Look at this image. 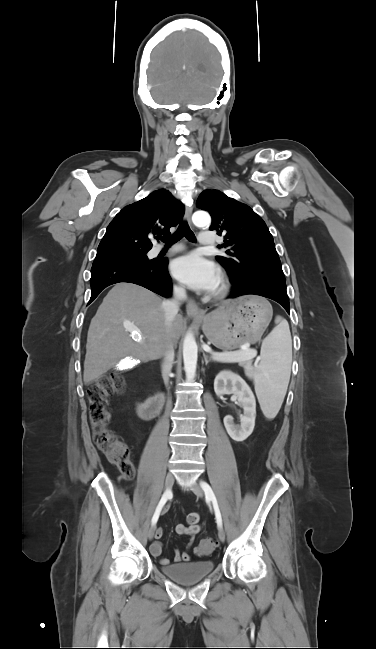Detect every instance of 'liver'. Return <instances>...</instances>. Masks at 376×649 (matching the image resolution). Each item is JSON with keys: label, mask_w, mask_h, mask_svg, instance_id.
Listing matches in <instances>:
<instances>
[{"label": "liver", "mask_w": 376, "mask_h": 649, "mask_svg": "<svg viewBox=\"0 0 376 649\" xmlns=\"http://www.w3.org/2000/svg\"><path fill=\"white\" fill-rule=\"evenodd\" d=\"M162 304L155 293L132 283H118L108 292L89 326L85 384L100 378L125 357L155 360L164 356L169 343L177 344L183 317L177 314L167 326ZM128 324L135 326L139 341L126 328Z\"/></svg>", "instance_id": "6515ba94"}]
</instances>
